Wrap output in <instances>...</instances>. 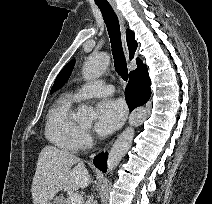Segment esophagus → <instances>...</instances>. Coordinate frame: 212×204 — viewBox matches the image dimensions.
<instances>
[{
	"label": "esophagus",
	"mask_w": 212,
	"mask_h": 204,
	"mask_svg": "<svg viewBox=\"0 0 212 204\" xmlns=\"http://www.w3.org/2000/svg\"><path fill=\"white\" fill-rule=\"evenodd\" d=\"M117 17H118V20H119V23H120V26H121V37H122V44H123V49H124V53H125V56L128 58L129 56V51H128V46H127V41H126V23H125V19L122 15V13L117 9V7H113ZM113 143V141H111L105 148H104V151L107 150L111 144Z\"/></svg>",
	"instance_id": "34e87169"
}]
</instances>
